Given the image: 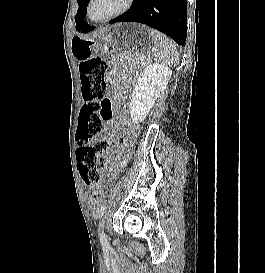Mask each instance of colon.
I'll return each instance as SVG.
<instances>
[{
  "instance_id": "1",
  "label": "colon",
  "mask_w": 265,
  "mask_h": 273,
  "mask_svg": "<svg viewBox=\"0 0 265 273\" xmlns=\"http://www.w3.org/2000/svg\"><path fill=\"white\" fill-rule=\"evenodd\" d=\"M105 51H112L110 45ZM107 64L98 58H85L80 62L81 95L83 104L80 109L76 131L78 146L76 158L78 171L86 186L92 188L89 201L96 202L104 180L102 168L98 164V154L108 147L106 139L98 138L104 123L112 117V105L107 98L108 84L105 80Z\"/></svg>"
}]
</instances>
